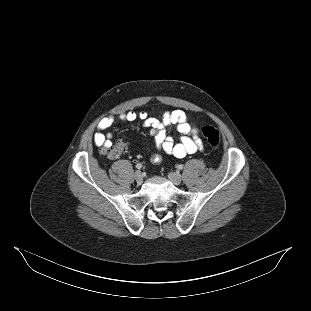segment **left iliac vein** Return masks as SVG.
I'll use <instances>...</instances> for the list:
<instances>
[{
  "label": "left iliac vein",
  "instance_id": "4c4485c4",
  "mask_svg": "<svg viewBox=\"0 0 311 311\" xmlns=\"http://www.w3.org/2000/svg\"><path fill=\"white\" fill-rule=\"evenodd\" d=\"M168 177L171 180V182L175 185H179L182 182V176L180 174L175 173V172H170L168 174Z\"/></svg>",
  "mask_w": 311,
  "mask_h": 311
}]
</instances>
